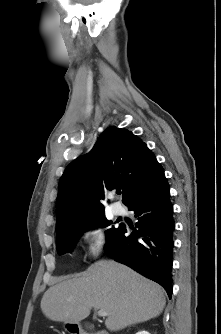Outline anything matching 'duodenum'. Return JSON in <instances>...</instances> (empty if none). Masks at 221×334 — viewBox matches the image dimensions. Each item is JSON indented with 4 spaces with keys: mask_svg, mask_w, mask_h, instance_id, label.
Returning <instances> with one entry per match:
<instances>
[{
    "mask_svg": "<svg viewBox=\"0 0 221 334\" xmlns=\"http://www.w3.org/2000/svg\"><path fill=\"white\" fill-rule=\"evenodd\" d=\"M73 334H87L83 329H80V328H75L72 330ZM94 334H109L108 332L106 331H103V330H99L97 332H95Z\"/></svg>",
    "mask_w": 221,
    "mask_h": 334,
    "instance_id": "410a0bca",
    "label": "duodenum"
}]
</instances>
